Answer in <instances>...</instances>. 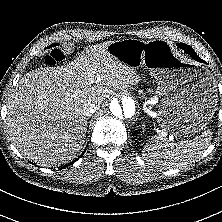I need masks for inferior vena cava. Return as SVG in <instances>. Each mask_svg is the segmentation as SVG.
<instances>
[{
  "instance_id": "inferior-vena-cava-1",
  "label": "inferior vena cava",
  "mask_w": 222,
  "mask_h": 222,
  "mask_svg": "<svg viewBox=\"0 0 222 222\" xmlns=\"http://www.w3.org/2000/svg\"><path fill=\"white\" fill-rule=\"evenodd\" d=\"M99 109V105L96 103L88 102L85 104L83 108V115L84 116H90L92 115L96 110Z\"/></svg>"
}]
</instances>
